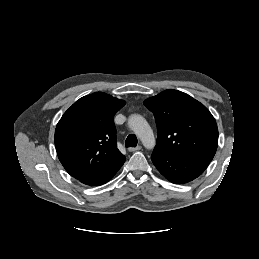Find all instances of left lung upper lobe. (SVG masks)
<instances>
[{"mask_svg": "<svg viewBox=\"0 0 259 259\" xmlns=\"http://www.w3.org/2000/svg\"><path fill=\"white\" fill-rule=\"evenodd\" d=\"M144 105L154 114L158 137L155 150L177 158L211 161L218 144V128L209 110L186 93L165 90Z\"/></svg>", "mask_w": 259, "mask_h": 259, "instance_id": "obj_1", "label": "left lung upper lobe"}]
</instances>
